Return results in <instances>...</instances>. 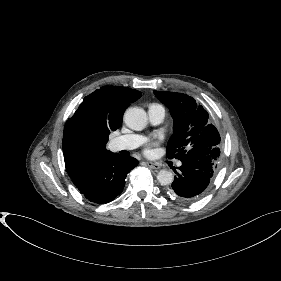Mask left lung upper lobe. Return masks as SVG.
Masks as SVG:
<instances>
[{
	"instance_id": "obj_1",
	"label": "left lung upper lobe",
	"mask_w": 281,
	"mask_h": 281,
	"mask_svg": "<svg viewBox=\"0 0 281 281\" xmlns=\"http://www.w3.org/2000/svg\"><path fill=\"white\" fill-rule=\"evenodd\" d=\"M174 119L173 135L167 146V156L181 160L193 147H216L220 135L208 121V113L196 101L182 93L154 91Z\"/></svg>"
}]
</instances>
